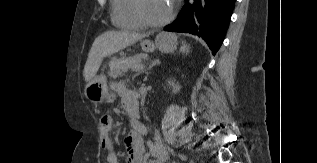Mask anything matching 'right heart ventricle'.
<instances>
[{
	"label": "right heart ventricle",
	"mask_w": 317,
	"mask_h": 163,
	"mask_svg": "<svg viewBox=\"0 0 317 163\" xmlns=\"http://www.w3.org/2000/svg\"><path fill=\"white\" fill-rule=\"evenodd\" d=\"M134 2L135 0H112V22L116 27L130 30L145 27L136 15Z\"/></svg>",
	"instance_id": "right-heart-ventricle-1"
}]
</instances>
